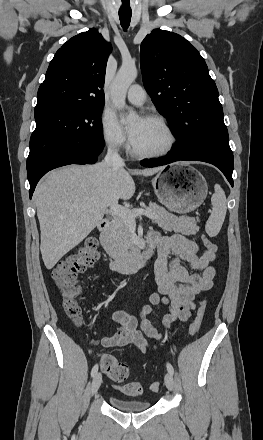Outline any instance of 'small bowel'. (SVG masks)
<instances>
[{
    "label": "small bowel",
    "instance_id": "small-bowel-1",
    "mask_svg": "<svg viewBox=\"0 0 263 440\" xmlns=\"http://www.w3.org/2000/svg\"><path fill=\"white\" fill-rule=\"evenodd\" d=\"M147 239H151L158 248L154 269L158 291L150 296L138 317L121 310L114 311L110 319L120 327L112 336L96 342L102 347L134 346L146 352L150 346L144 334L156 340L161 339V334L147 319L153 306L159 303L168 306L169 313L163 317L162 324L170 328L175 321H187L194 309L195 297L213 285L216 271L211 262L215 259L214 252L207 250L198 255L197 244L179 234L162 236L152 231ZM186 264L194 272H190ZM138 324L142 331L137 329Z\"/></svg>",
    "mask_w": 263,
    "mask_h": 440
}]
</instances>
